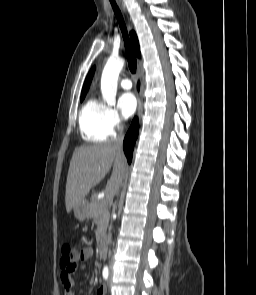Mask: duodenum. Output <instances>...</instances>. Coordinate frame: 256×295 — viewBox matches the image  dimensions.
<instances>
[{"label": "duodenum", "mask_w": 256, "mask_h": 295, "mask_svg": "<svg viewBox=\"0 0 256 295\" xmlns=\"http://www.w3.org/2000/svg\"><path fill=\"white\" fill-rule=\"evenodd\" d=\"M98 250H99V253H100L101 257H106L107 252H106L105 242H104L103 239H101L98 242Z\"/></svg>", "instance_id": "1"}]
</instances>
